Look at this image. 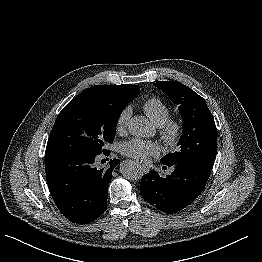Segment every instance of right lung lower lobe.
<instances>
[{
  "instance_id": "right-lung-lower-lobe-1",
  "label": "right lung lower lobe",
  "mask_w": 262,
  "mask_h": 262,
  "mask_svg": "<svg viewBox=\"0 0 262 262\" xmlns=\"http://www.w3.org/2000/svg\"><path fill=\"white\" fill-rule=\"evenodd\" d=\"M107 154V151L105 152ZM100 154L46 151L45 171L50 193L61 213L71 222L86 224L107 207L108 185L119 159L97 168Z\"/></svg>"
}]
</instances>
